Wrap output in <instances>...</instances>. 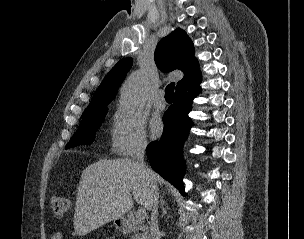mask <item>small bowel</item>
Returning <instances> with one entry per match:
<instances>
[{"mask_svg":"<svg viewBox=\"0 0 304 239\" xmlns=\"http://www.w3.org/2000/svg\"><path fill=\"white\" fill-rule=\"evenodd\" d=\"M62 238H63V233L59 231L55 232L51 237V239H62Z\"/></svg>","mask_w":304,"mask_h":239,"instance_id":"obj_1","label":"small bowel"}]
</instances>
